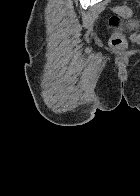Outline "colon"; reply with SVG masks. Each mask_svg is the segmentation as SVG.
Segmentation results:
<instances>
[{"label":"colon","mask_w":140,"mask_h":196,"mask_svg":"<svg viewBox=\"0 0 140 196\" xmlns=\"http://www.w3.org/2000/svg\"><path fill=\"white\" fill-rule=\"evenodd\" d=\"M113 15L109 19V27L111 30V47L117 53L125 52L127 48V40L123 33L124 19L128 17L131 10L126 5H115L112 7Z\"/></svg>","instance_id":"5ec220e1"}]
</instances>
